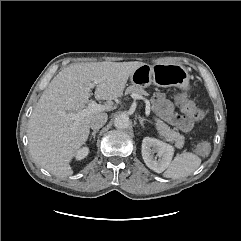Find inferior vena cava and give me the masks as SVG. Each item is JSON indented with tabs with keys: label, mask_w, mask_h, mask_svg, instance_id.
<instances>
[{
	"label": "inferior vena cava",
	"mask_w": 241,
	"mask_h": 241,
	"mask_svg": "<svg viewBox=\"0 0 241 241\" xmlns=\"http://www.w3.org/2000/svg\"><path fill=\"white\" fill-rule=\"evenodd\" d=\"M108 116L106 113L96 114L90 122V127L93 130L100 129L107 122Z\"/></svg>",
	"instance_id": "obj_1"
}]
</instances>
